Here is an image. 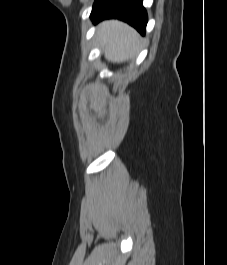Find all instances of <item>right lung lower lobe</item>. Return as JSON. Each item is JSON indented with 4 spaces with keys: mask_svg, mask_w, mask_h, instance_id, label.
<instances>
[{
    "mask_svg": "<svg viewBox=\"0 0 227 265\" xmlns=\"http://www.w3.org/2000/svg\"><path fill=\"white\" fill-rule=\"evenodd\" d=\"M118 18L145 34L147 13L142 0H107L103 6L91 16L94 23L103 19Z\"/></svg>",
    "mask_w": 227,
    "mask_h": 265,
    "instance_id": "obj_1",
    "label": "right lung lower lobe"
}]
</instances>
